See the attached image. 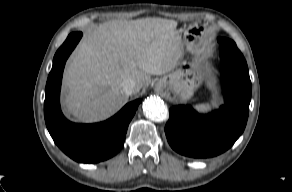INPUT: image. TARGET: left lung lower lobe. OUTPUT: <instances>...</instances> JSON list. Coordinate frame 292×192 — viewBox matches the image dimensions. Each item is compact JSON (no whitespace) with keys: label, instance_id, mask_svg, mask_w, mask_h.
<instances>
[{"label":"left lung lower lobe","instance_id":"0a47b994","mask_svg":"<svg viewBox=\"0 0 292 192\" xmlns=\"http://www.w3.org/2000/svg\"><path fill=\"white\" fill-rule=\"evenodd\" d=\"M219 49L225 105L208 115H199L190 106L169 110L167 140L176 152L188 157L207 158L223 153L235 143L247 123L251 100L247 63L237 46L221 44Z\"/></svg>","mask_w":292,"mask_h":192}]
</instances>
